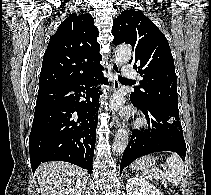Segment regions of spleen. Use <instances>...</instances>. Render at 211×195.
<instances>
[{
	"instance_id": "1",
	"label": "spleen",
	"mask_w": 211,
	"mask_h": 195,
	"mask_svg": "<svg viewBox=\"0 0 211 195\" xmlns=\"http://www.w3.org/2000/svg\"><path fill=\"white\" fill-rule=\"evenodd\" d=\"M166 164L168 171L162 172L158 168L146 171V176H154L157 178H166L173 185H179L184 175V164L182 159L177 154H172L167 158Z\"/></svg>"
}]
</instances>
